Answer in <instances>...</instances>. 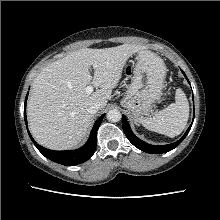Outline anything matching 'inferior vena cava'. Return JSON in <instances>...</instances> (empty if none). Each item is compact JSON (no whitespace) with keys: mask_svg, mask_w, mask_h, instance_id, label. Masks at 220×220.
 <instances>
[{"mask_svg":"<svg viewBox=\"0 0 220 220\" xmlns=\"http://www.w3.org/2000/svg\"><path fill=\"white\" fill-rule=\"evenodd\" d=\"M99 109H100V104L95 103L88 108V112L93 115L97 113Z\"/></svg>","mask_w":220,"mask_h":220,"instance_id":"inferior-vena-cava-1","label":"inferior vena cava"}]
</instances>
